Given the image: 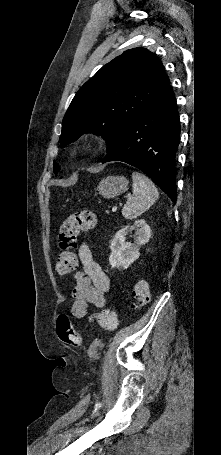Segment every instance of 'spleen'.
<instances>
[{
	"label": "spleen",
	"mask_w": 221,
	"mask_h": 455,
	"mask_svg": "<svg viewBox=\"0 0 221 455\" xmlns=\"http://www.w3.org/2000/svg\"><path fill=\"white\" fill-rule=\"evenodd\" d=\"M133 195L122 209L125 219L132 220L146 212L158 199L159 193L154 183L139 172L132 173Z\"/></svg>",
	"instance_id": "3e777b00"
}]
</instances>
